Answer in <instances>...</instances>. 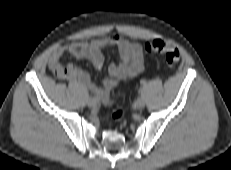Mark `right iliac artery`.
Wrapping results in <instances>:
<instances>
[{"label": "right iliac artery", "instance_id": "right-iliac-artery-1", "mask_svg": "<svg viewBox=\"0 0 231 170\" xmlns=\"http://www.w3.org/2000/svg\"><path fill=\"white\" fill-rule=\"evenodd\" d=\"M93 99H95V100L99 101V100H98V99H96V98H93Z\"/></svg>", "mask_w": 231, "mask_h": 170}]
</instances>
